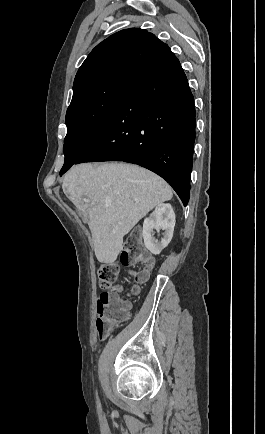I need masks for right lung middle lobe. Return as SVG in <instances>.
<instances>
[{
    "label": "right lung middle lobe",
    "instance_id": "right-lung-middle-lobe-1",
    "mask_svg": "<svg viewBox=\"0 0 265 434\" xmlns=\"http://www.w3.org/2000/svg\"><path fill=\"white\" fill-rule=\"evenodd\" d=\"M134 76L110 75L73 88L66 113L65 160L60 175L75 164L100 136Z\"/></svg>",
    "mask_w": 265,
    "mask_h": 434
}]
</instances>
